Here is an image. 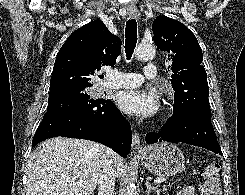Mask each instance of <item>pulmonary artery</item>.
<instances>
[{"label":"pulmonary artery","mask_w":245,"mask_h":195,"mask_svg":"<svg viewBox=\"0 0 245 195\" xmlns=\"http://www.w3.org/2000/svg\"><path fill=\"white\" fill-rule=\"evenodd\" d=\"M155 64L149 63L145 67L144 76L137 73L114 71L108 75L107 80L101 83L106 89H127L138 87L144 79H152L156 76Z\"/></svg>","instance_id":"pulmonary-artery-1"}]
</instances>
